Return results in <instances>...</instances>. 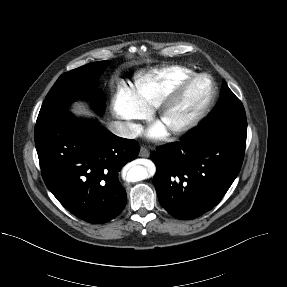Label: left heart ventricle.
Instances as JSON below:
<instances>
[{
    "mask_svg": "<svg viewBox=\"0 0 287 287\" xmlns=\"http://www.w3.org/2000/svg\"><path fill=\"white\" fill-rule=\"evenodd\" d=\"M210 91L209 82L206 79H200L194 82L186 91L177 106L168 114L164 127L169 124H175L183 121L194 113L206 100Z\"/></svg>",
    "mask_w": 287,
    "mask_h": 287,
    "instance_id": "obj_1",
    "label": "left heart ventricle"
}]
</instances>
